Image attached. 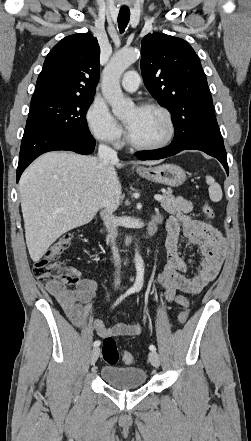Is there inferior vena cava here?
Returning a JSON list of instances; mask_svg holds the SVG:
<instances>
[{
  "instance_id": "obj_1",
  "label": "inferior vena cava",
  "mask_w": 251,
  "mask_h": 441,
  "mask_svg": "<svg viewBox=\"0 0 251 441\" xmlns=\"http://www.w3.org/2000/svg\"><path fill=\"white\" fill-rule=\"evenodd\" d=\"M98 156L99 159L104 162H118L116 151L104 144L99 145ZM100 215L108 231V239L109 241H111L112 244L111 249H112L113 259L115 261V266L117 267L120 264L119 250L115 243L118 235V220L113 215L112 209L103 208L101 209ZM116 273L117 276L115 277V282H114L115 287L120 285L119 270Z\"/></svg>"
}]
</instances>
